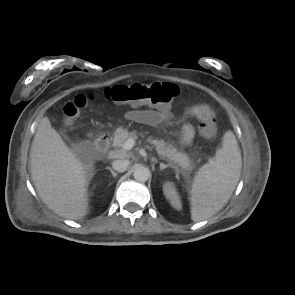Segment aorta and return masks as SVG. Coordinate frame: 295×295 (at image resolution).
<instances>
[{
	"label": "aorta",
	"instance_id": "aorta-1",
	"mask_svg": "<svg viewBox=\"0 0 295 295\" xmlns=\"http://www.w3.org/2000/svg\"><path fill=\"white\" fill-rule=\"evenodd\" d=\"M133 176L136 180L145 182L150 177V170L145 166H138L133 173Z\"/></svg>",
	"mask_w": 295,
	"mask_h": 295
}]
</instances>
